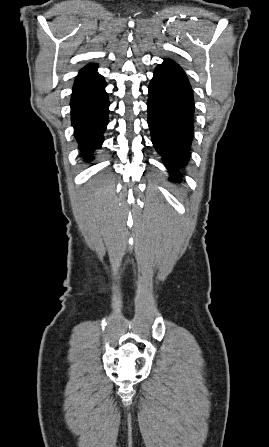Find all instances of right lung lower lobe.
Masks as SVG:
<instances>
[{"label": "right lung lower lobe", "instance_id": "1", "mask_svg": "<svg viewBox=\"0 0 269 447\" xmlns=\"http://www.w3.org/2000/svg\"><path fill=\"white\" fill-rule=\"evenodd\" d=\"M96 69L95 65L81 69L75 80L70 102L75 137L86 160H91L93 152L101 147L102 134L108 124L106 82Z\"/></svg>", "mask_w": 269, "mask_h": 447}]
</instances>
